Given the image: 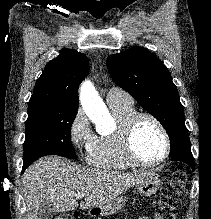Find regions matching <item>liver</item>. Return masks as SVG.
<instances>
[{
	"mask_svg": "<svg viewBox=\"0 0 211 219\" xmlns=\"http://www.w3.org/2000/svg\"><path fill=\"white\" fill-rule=\"evenodd\" d=\"M149 174V171L125 173L71 166L61 157L46 156L29 166L23 178L28 219H38V208L43 201L52 202L58 213L76 210L78 193L87 196L80 209L100 207Z\"/></svg>",
	"mask_w": 211,
	"mask_h": 219,
	"instance_id": "6515ba94",
	"label": "liver"
}]
</instances>
